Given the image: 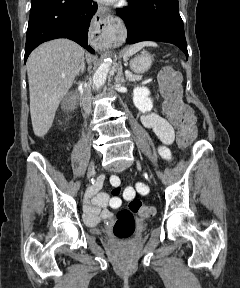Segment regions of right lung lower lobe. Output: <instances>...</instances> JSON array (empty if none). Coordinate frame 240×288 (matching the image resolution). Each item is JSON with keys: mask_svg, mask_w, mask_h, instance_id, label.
Masks as SVG:
<instances>
[{"mask_svg": "<svg viewBox=\"0 0 240 288\" xmlns=\"http://www.w3.org/2000/svg\"><path fill=\"white\" fill-rule=\"evenodd\" d=\"M97 3L92 0H34L26 34L24 60L39 44L56 39L68 38L89 52L95 51L88 45V28L96 13Z\"/></svg>", "mask_w": 240, "mask_h": 288, "instance_id": "right-lung-lower-lobe-1", "label": "right lung lower lobe"}]
</instances>
